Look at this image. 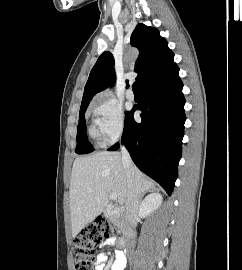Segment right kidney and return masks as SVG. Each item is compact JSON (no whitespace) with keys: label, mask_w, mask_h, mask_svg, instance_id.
Returning <instances> with one entry per match:
<instances>
[{"label":"right kidney","mask_w":242,"mask_h":270,"mask_svg":"<svg viewBox=\"0 0 242 270\" xmlns=\"http://www.w3.org/2000/svg\"><path fill=\"white\" fill-rule=\"evenodd\" d=\"M162 203V196L159 193H151L140 204L139 213L142 217H146L153 211L158 209Z\"/></svg>","instance_id":"right-kidney-1"}]
</instances>
